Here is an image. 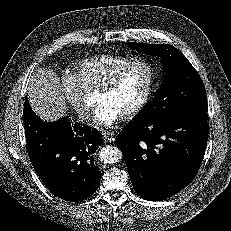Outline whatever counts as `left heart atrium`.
Returning <instances> with one entry per match:
<instances>
[{
	"label": "left heart atrium",
	"mask_w": 231,
	"mask_h": 231,
	"mask_svg": "<svg viewBox=\"0 0 231 231\" xmlns=\"http://www.w3.org/2000/svg\"><path fill=\"white\" fill-rule=\"evenodd\" d=\"M122 116L117 113L110 105L101 102L95 111L94 120L100 124L111 126L120 120Z\"/></svg>",
	"instance_id": "left-heart-atrium-1"
}]
</instances>
